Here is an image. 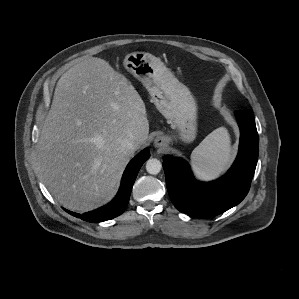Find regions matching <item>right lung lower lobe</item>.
Returning <instances> with one entry per match:
<instances>
[{"mask_svg": "<svg viewBox=\"0 0 299 299\" xmlns=\"http://www.w3.org/2000/svg\"><path fill=\"white\" fill-rule=\"evenodd\" d=\"M149 157V148H146L129 162L124 171L120 189L116 197L109 204L94 211L84 213L82 215L73 213L68 210L66 211L69 214L80 217L82 220L88 222H101L117 217L125 210L129 202L132 186L139 172V169Z\"/></svg>", "mask_w": 299, "mask_h": 299, "instance_id": "obj_1", "label": "right lung lower lobe"}]
</instances>
